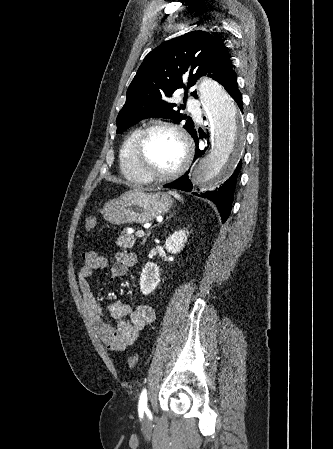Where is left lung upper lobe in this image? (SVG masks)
Listing matches in <instances>:
<instances>
[{
  "mask_svg": "<svg viewBox=\"0 0 333 449\" xmlns=\"http://www.w3.org/2000/svg\"><path fill=\"white\" fill-rule=\"evenodd\" d=\"M189 71L188 86L182 76ZM233 72L225 44L206 31H191L171 39L151 51L140 65L127 90V99L117 117V133L149 117L172 118L176 123L186 119L184 128L195 133L192 119L181 114L171 102L173 93L188 89L202 75L223 84ZM197 98L196 91L191 93ZM182 107V105H180Z\"/></svg>",
  "mask_w": 333,
  "mask_h": 449,
  "instance_id": "left-lung-upper-lobe-1",
  "label": "left lung upper lobe"
}]
</instances>
